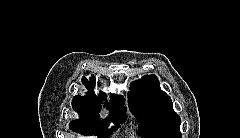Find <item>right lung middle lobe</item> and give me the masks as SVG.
<instances>
[{
  "label": "right lung middle lobe",
  "instance_id": "right-lung-middle-lobe-1",
  "mask_svg": "<svg viewBox=\"0 0 240 138\" xmlns=\"http://www.w3.org/2000/svg\"><path fill=\"white\" fill-rule=\"evenodd\" d=\"M70 129L84 135H97L99 138H107L111 132L117 130L116 127L107 129L108 126L86 124L80 122H71L69 125Z\"/></svg>",
  "mask_w": 240,
  "mask_h": 138
}]
</instances>
